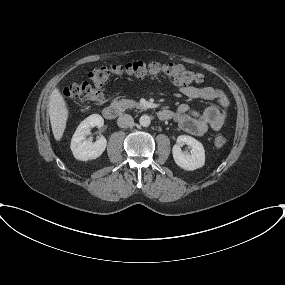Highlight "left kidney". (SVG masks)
Here are the masks:
<instances>
[{
  "label": "left kidney",
  "instance_id": "1",
  "mask_svg": "<svg viewBox=\"0 0 285 285\" xmlns=\"http://www.w3.org/2000/svg\"><path fill=\"white\" fill-rule=\"evenodd\" d=\"M187 144L191 147L190 153H184L181 146ZM175 163L184 170H196L205 164V151L203 145L195 138L188 135L177 137V143L172 148Z\"/></svg>",
  "mask_w": 285,
  "mask_h": 285
}]
</instances>
